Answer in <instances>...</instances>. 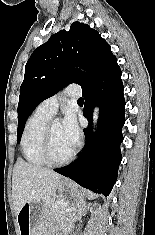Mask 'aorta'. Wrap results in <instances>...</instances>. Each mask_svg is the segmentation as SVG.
I'll return each instance as SVG.
<instances>
[{
    "mask_svg": "<svg viewBox=\"0 0 155 235\" xmlns=\"http://www.w3.org/2000/svg\"><path fill=\"white\" fill-rule=\"evenodd\" d=\"M98 116H99V110H98V108H95V109H94V114H93L94 131H95V128H96V122H97V120H98Z\"/></svg>",
    "mask_w": 155,
    "mask_h": 235,
    "instance_id": "762f6f07",
    "label": "aorta"
}]
</instances>
